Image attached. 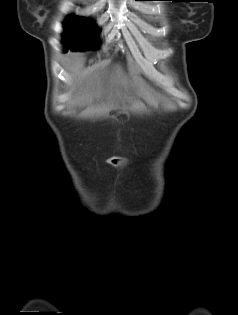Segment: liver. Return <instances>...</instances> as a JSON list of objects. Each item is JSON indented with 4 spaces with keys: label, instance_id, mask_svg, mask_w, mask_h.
I'll use <instances>...</instances> for the list:
<instances>
[{
    "label": "liver",
    "instance_id": "liver-1",
    "mask_svg": "<svg viewBox=\"0 0 238 315\" xmlns=\"http://www.w3.org/2000/svg\"><path fill=\"white\" fill-rule=\"evenodd\" d=\"M66 68L71 75L69 92L72 103L101 101L106 113H127L135 109L136 100L130 96L131 83L120 68L109 76L102 68L85 69L84 58L81 56L70 58Z\"/></svg>",
    "mask_w": 238,
    "mask_h": 315
}]
</instances>
